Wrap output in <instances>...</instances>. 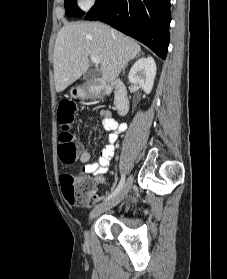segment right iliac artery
<instances>
[{"label":"right iliac artery","mask_w":227,"mask_h":279,"mask_svg":"<svg viewBox=\"0 0 227 279\" xmlns=\"http://www.w3.org/2000/svg\"><path fill=\"white\" fill-rule=\"evenodd\" d=\"M124 182H125V175H122L121 176V180L118 184V186L116 187V189L105 199V201L113 198L114 196H116L120 190L122 189L123 185H124Z\"/></svg>","instance_id":"1"}]
</instances>
